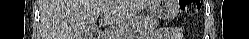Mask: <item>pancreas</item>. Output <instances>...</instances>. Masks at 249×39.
Returning <instances> with one entry per match:
<instances>
[{"label":"pancreas","mask_w":249,"mask_h":39,"mask_svg":"<svg viewBox=\"0 0 249 39\" xmlns=\"http://www.w3.org/2000/svg\"><path fill=\"white\" fill-rule=\"evenodd\" d=\"M159 22L156 18L153 17H140L131 20L128 23V26H133L135 28V32L141 36H148L151 34L155 28L158 26ZM126 25L125 28L127 29ZM118 36V35H117ZM115 39H119L120 37H114Z\"/></svg>","instance_id":"cf45deb5"}]
</instances>
